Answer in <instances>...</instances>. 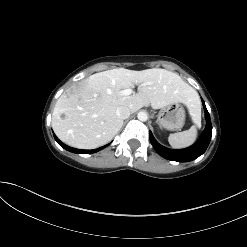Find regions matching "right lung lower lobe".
<instances>
[{
  "label": "right lung lower lobe",
  "instance_id": "1",
  "mask_svg": "<svg viewBox=\"0 0 247 247\" xmlns=\"http://www.w3.org/2000/svg\"><path fill=\"white\" fill-rule=\"evenodd\" d=\"M55 140L66 150L73 152V153H83V154H91V153H95L101 149H103L104 147H106L107 145L100 147L98 149H93V150H81V149H76V148H72L69 147L67 145H65L64 143H62L55 135H54Z\"/></svg>",
  "mask_w": 247,
  "mask_h": 247
}]
</instances>
